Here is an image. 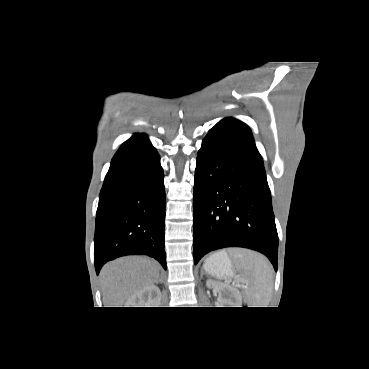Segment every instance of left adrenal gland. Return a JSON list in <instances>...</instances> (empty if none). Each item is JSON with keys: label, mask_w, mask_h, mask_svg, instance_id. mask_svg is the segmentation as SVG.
Wrapping results in <instances>:
<instances>
[{"label": "left adrenal gland", "mask_w": 369, "mask_h": 369, "mask_svg": "<svg viewBox=\"0 0 369 369\" xmlns=\"http://www.w3.org/2000/svg\"><path fill=\"white\" fill-rule=\"evenodd\" d=\"M203 274H204V272H203V270H201V277L203 276Z\"/></svg>", "instance_id": "obj_1"}]
</instances>
